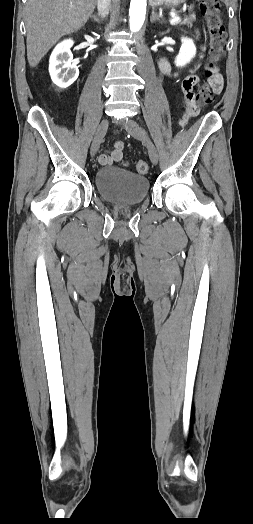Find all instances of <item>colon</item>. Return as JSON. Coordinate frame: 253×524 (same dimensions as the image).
Segmentation results:
<instances>
[{
  "label": "colon",
  "instance_id": "colon-1",
  "mask_svg": "<svg viewBox=\"0 0 253 524\" xmlns=\"http://www.w3.org/2000/svg\"><path fill=\"white\" fill-rule=\"evenodd\" d=\"M201 13L206 20L209 35V51L205 75L211 78L215 74L216 65L224 57L225 29L218 12L217 0H197ZM213 98V90L208 84H203L197 91V101L202 105L208 104ZM136 171L144 174L148 171V164L144 161L136 163Z\"/></svg>",
  "mask_w": 253,
  "mask_h": 524
}]
</instances>
